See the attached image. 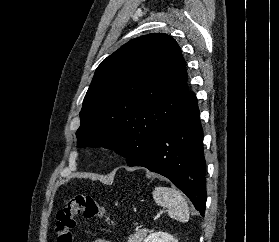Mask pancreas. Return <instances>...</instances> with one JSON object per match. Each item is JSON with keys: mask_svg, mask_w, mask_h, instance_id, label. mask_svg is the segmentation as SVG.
<instances>
[{"mask_svg": "<svg viewBox=\"0 0 279 242\" xmlns=\"http://www.w3.org/2000/svg\"><path fill=\"white\" fill-rule=\"evenodd\" d=\"M147 232L148 230L146 229L139 230L138 232L131 234L127 242H142L144 237L147 235Z\"/></svg>", "mask_w": 279, "mask_h": 242, "instance_id": "1", "label": "pancreas"}]
</instances>
